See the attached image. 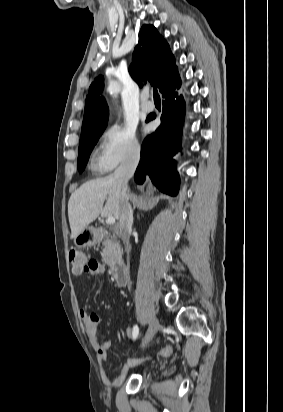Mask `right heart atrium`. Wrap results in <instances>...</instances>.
<instances>
[{
	"label": "right heart atrium",
	"instance_id": "right-heart-atrium-1",
	"mask_svg": "<svg viewBox=\"0 0 283 412\" xmlns=\"http://www.w3.org/2000/svg\"><path fill=\"white\" fill-rule=\"evenodd\" d=\"M140 150L141 146L134 130L114 126L102 135L97 156L98 167L102 171L113 170L122 162L137 158Z\"/></svg>",
	"mask_w": 283,
	"mask_h": 412
}]
</instances>
